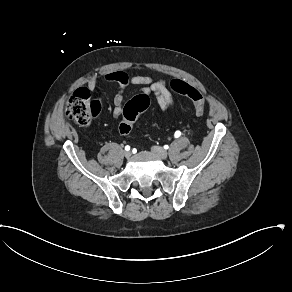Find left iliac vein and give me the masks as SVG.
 <instances>
[{"instance_id": "left-iliac-vein-1", "label": "left iliac vein", "mask_w": 292, "mask_h": 292, "mask_svg": "<svg viewBox=\"0 0 292 292\" xmlns=\"http://www.w3.org/2000/svg\"><path fill=\"white\" fill-rule=\"evenodd\" d=\"M151 150L160 159L166 160L168 158L167 151L160 146H152Z\"/></svg>"}]
</instances>
